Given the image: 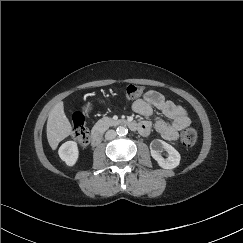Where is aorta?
<instances>
[{"label": "aorta", "mask_w": 243, "mask_h": 243, "mask_svg": "<svg viewBox=\"0 0 243 243\" xmlns=\"http://www.w3.org/2000/svg\"><path fill=\"white\" fill-rule=\"evenodd\" d=\"M116 131L119 136H124L128 133L127 128H125L124 126H119Z\"/></svg>", "instance_id": "762f6f07"}]
</instances>
